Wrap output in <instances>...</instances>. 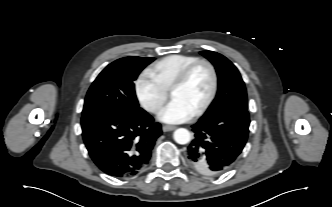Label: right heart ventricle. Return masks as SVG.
<instances>
[{
    "mask_svg": "<svg viewBox=\"0 0 332 207\" xmlns=\"http://www.w3.org/2000/svg\"><path fill=\"white\" fill-rule=\"evenodd\" d=\"M198 59L192 55L172 54L153 64L148 74L165 90L168 91L178 74L190 63Z\"/></svg>",
    "mask_w": 332,
    "mask_h": 207,
    "instance_id": "right-heart-ventricle-1",
    "label": "right heart ventricle"
}]
</instances>
